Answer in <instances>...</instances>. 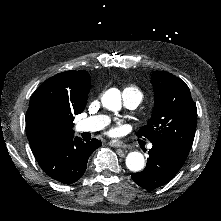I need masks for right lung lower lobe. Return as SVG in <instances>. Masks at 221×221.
<instances>
[{
    "label": "right lung lower lobe",
    "instance_id": "98d812e1",
    "mask_svg": "<svg viewBox=\"0 0 221 221\" xmlns=\"http://www.w3.org/2000/svg\"><path fill=\"white\" fill-rule=\"evenodd\" d=\"M100 146L97 139L84 143L73 134L35 154V158L52 179L72 184L83 176L88 158Z\"/></svg>",
    "mask_w": 221,
    "mask_h": 221
}]
</instances>
